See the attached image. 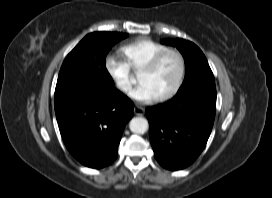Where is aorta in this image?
Wrapping results in <instances>:
<instances>
[{
  "label": "aorta",
  "instance_id": "762f6f07",
  "mask_svg": "<svg viewBox=\"0 0 272 198\" xmlns=\"http://www.w3.org/2000/svg\"><path fill=\"white\" fill-rule=\"evenodd\" d=\"M148 121L143 117H135L131 119L129 128L131 132L136 134H142L148 130Z\"/></svg>",
  "mask_w": 272,
  "mask_h": 198
}]
</instances>
